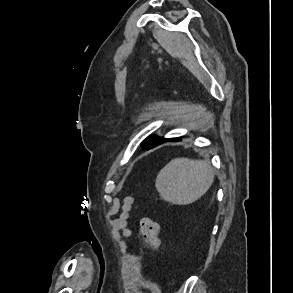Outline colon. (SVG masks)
I'll return each instance as SVG.
<instances>
[{"label": "colon", "mask_w": 293, "mask_h": 293, "mask_svg": "<svg viewBox=\"0 0 293 293\" xmlns=\"http://www.w3.org/2000/svg\"><path fill=\"white\" fill-rule=\"evenodd\" d=\"M135 195L130 194L124 199L123 212L120 216V223L123 225L126 221L128 213L131 211L135 204ZM128 233L129 231L126 230ZM140 234L144 239L145 248H157L159 246V228L156 222L150 218H144L140 222Z\"/></svg>", "instance_id": "1"}]
</instances>
